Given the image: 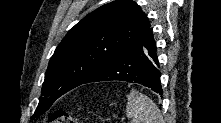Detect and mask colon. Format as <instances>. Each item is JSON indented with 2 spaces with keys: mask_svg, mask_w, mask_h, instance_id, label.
Wrapping results in <instances>:
<instances>
[{
  "mask_svg": "<svg viewBox=\"0 0 221 123\" xmlns=\"http://www.w3.org/2000/svg\"><path fill=\"white\" fill-rule=\"evenodd\" d=\"M50 121L51 123H76L77 119L66 111L58 110L52 113Z\"/></svg>",
  "mask_w": 221,
  "mask_h": 123,
  "instance_id": "obj_1",
  "label": "colon"
}]
</instances>
